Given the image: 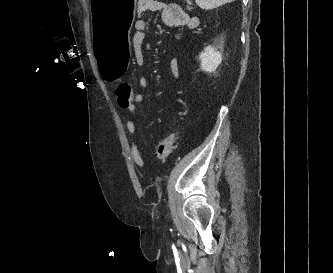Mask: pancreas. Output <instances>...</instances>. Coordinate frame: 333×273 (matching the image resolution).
I'll return each mask as SVG.
<instances>
[{"instance_id":"pancreas-1","label":"pancreas","mask_w":333,"mask_h":273,"mask_svg":"<svg viewBox=\"0 0 333 273\" xmlns=\"http://www.w3.org/2000/svg\"><path fill=\"white\" fill-rule=\"evenodd\" d=\"M186 2H187V4H189V5H191V4H192L190 0H186ZM187 9H188V10H190V9H191V7H190V6H187Z\"/></svg>"}]
</instances>
